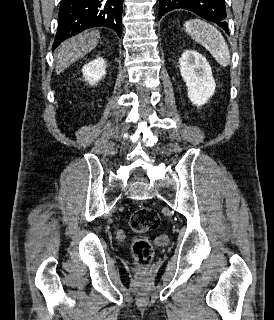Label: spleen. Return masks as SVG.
<instances>
[{"instance_id":"3e777b00","label":"spleen","mask_w":274,"mask_h":320,"mask_svg":"<svg viewBox=\"0 0 274 320\" xmlns=\"http://www.w3.org/2000/svg\"><path fill=\"white\" fill-rule=\"evenodd\" d=\"M184 26L189 36H192L198 44H202L220 66H228L230 60L228 46L222 34L214 26L203 20H189Z\"/></svg>"}]
</instances>
